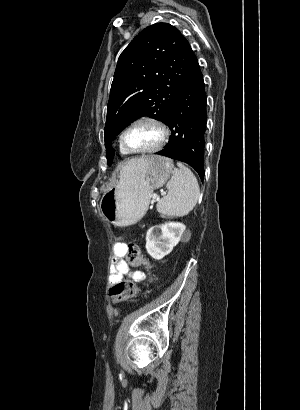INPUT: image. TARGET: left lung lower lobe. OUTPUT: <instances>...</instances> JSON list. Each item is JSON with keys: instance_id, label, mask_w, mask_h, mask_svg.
Returning <instances> with one entry per match:
<instances>
[{"instance_id": "obj_1", "label": "left lung lower lobe", "mask_w": 300, "mask_h": 410, "mask_svg": "<svg viewBox=\"0 0 300 410\" xmlns=\"http://www.w3.org/2000/svg\"><path fill=\"white\" fill-rule=\"evenodd\" d=\"M170 130L168 144L156 154L183 161L204 177L207 97L196 59L164 121Z\"/></svg>"}]
</instances>
